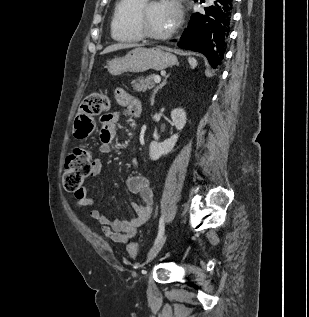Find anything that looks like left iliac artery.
I'll return each instance as SVG.
<instances>
[{"label": "left iliac artery", "mask_w": 309, "mask_h": 317, "mask_svg": "<svg viewBox=\"0 0 309 317\" xmlns=\"http://www.w3.org/2000/svg\"><path fill=\"white\" fill-rule=\"evenodd\" d=\"M164 230H165L164 218L161 216V218L159 220V231H158V235L155 239V243L163 236Z\"/></svg>", "instance_id": "1"}]
</instances>
